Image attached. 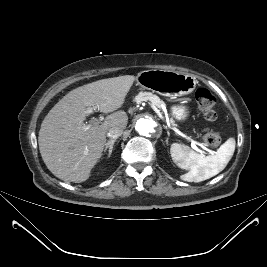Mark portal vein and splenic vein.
<instances>
[{"mask_svg":"<svg viewBox=\"0 0 267 267\" xmlns=\"http://www.w3.org/2000/svg\"><path fill=\"white\" fill-rule=\"evenodd\" d=\"M151 106L159 114V116L161 117L160 112L156 109V107L153 104ZM86 112L90 114V113L93 112V109L92 108H88ZM90 126H91L90 124L83 125V129L86 131V130H88L90 128ZM182 136L185 137L184 135H182ZM186 139H188V138H186ZM197 145H200V144L195 142V141H193V140H191V146H192L193 149H197ZM200 146L202 148H205L203 145H200ZM209 152L213 153L212 151H209Z\"/></svg>","mask_w":267,"mask_h":267,"instance_id":"1","label":"portal vein and splenic vein"}]
</instances>
